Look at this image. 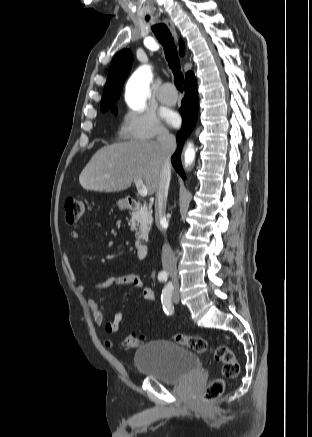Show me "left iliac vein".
<instances>
[{
	"label": "left iliac vein",
	"mask_w": 312,
	"mask_h": 437,
	"mask_svg": "<svg viewBox=\"0 0 312 437\" xmlns=\"http://www.w3.org/2000/svg\"><path fill=\"white\" fill-rule=\"evenodd\" d=\"M172 300H173L174 303H178L179 302V295H178V290L177 289H175L173 291Z\"/></svg>",
	"instance_id": "obj_1"
}]
</instances>
